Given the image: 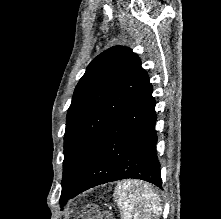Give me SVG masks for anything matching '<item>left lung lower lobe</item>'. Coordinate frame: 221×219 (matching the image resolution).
I'll return each instance as SVG.
<instances>
[{
  "label": "left lung lower lobe",
  "instance_id": "1",
  "mask_svg": "<svg viewBox=\"0 0 221 219\" xmlns=\"http://www.w3.org/2000/svg\"><path fill=\"white\" fill-rule=\"evenodd\" d=\"M154 108L152 85L148 83L107 129L67 200L94 186L127 178L162 187Z\"/></svg>",
  "mask_w": 221,
  "mask_h": 219
}]
</instances>
